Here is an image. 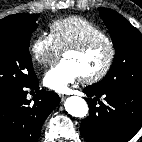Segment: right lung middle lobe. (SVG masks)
I'll list each match as a JSON object with an SVG mask.
<instances>
[{
  "label": "right lung middle lobe",
  "instance_id": "1",
  "mask_svg": "<svg viewBox=\"0 0 142 142\" xmlns=\"http://www.w3.org/2000/svg\"><path fill=\"white\" fill-rule=\"evenodd\" d=\"M36 15L14 14L0 20V97L36 80L29 44Z\"/></svg>",
  "mask_w": 142,
  "mask_h": 142
}]
</instances>
